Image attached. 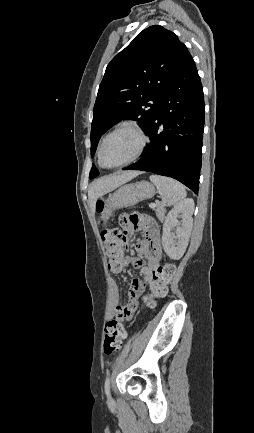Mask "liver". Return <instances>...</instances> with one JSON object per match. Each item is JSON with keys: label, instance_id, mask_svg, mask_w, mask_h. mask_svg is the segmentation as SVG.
<instances>
[{"label": "liver", "instance_id": "liver-1", "mask_svg": "<svg viewBox=\"0 0 254 433\" xmlns=\"http://www.w3.org/2000/svg\"><path fill=\"white\" fill-rule=\"evenodd\" d=\"M140 173L141 172L139 171H126L108 175L94 181L90 185L88 191L89 204L92 212H95L96 202L100 197L127 183L128 181L138 176Z\"/></svg>", "mask_w": 254, "mask_h": 433}]
</instances>
